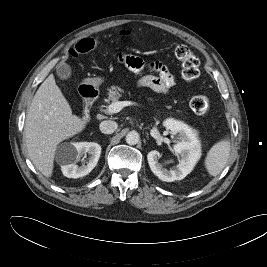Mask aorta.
<instances>
[{
    "mask_svg": "<svg viewBox=\"0 0 267 267\" xmlns=\"http://www.w3.org/2000/svg\"><path fill=\"white\" fill-rule=\"evenodd\" d=\"M140 136L138 134L137 131H130L127 135H126V143L129 145H136L139 142Z\"/></svg>",
    "mask_w": 267,
    "mask_h": 267,
    "instance_id": "762f6f07",
    "label": "aorta"
}]
</instances>
